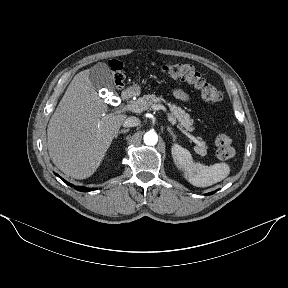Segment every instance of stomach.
Returning <instances> with one entry per match:
<instances>
[{"label":"stomach","instance_id":"1","mask_svg":"<svg viewBox=\"0 0 288 288\" xmlns=\"http://www.w3.org/2000/svg\"><path fill=\"white\" fill-rule=\"evenodd\" d=\"M132 91L134 92V93H140V87L138 86V85H136V86H134L133 88H132Z\"/></svg>","mask_w":288,"mask_h":288}]
</instances>
